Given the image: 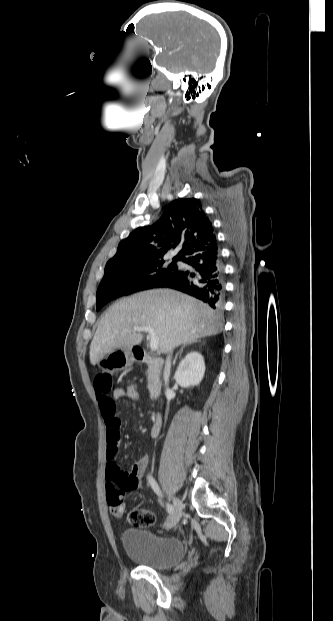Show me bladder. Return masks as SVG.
I'll return each instance as SVG.
<instances>
[{"instance_id":"1","label":"bladder","mask_w":333,"mask_h":621,"mask_svg":"<svg viewBox=\"0 0 333 621\" xmlns=\"http://www.w3.org/2000/svg\"><path fill=\"white\" fill-rule=\"evenodd\" d=\"M128 558L141 566L165 569L179 563L185 556L181 539L162 536L144 528H128L122 534Z\"/></svg>"}]
</instances>
